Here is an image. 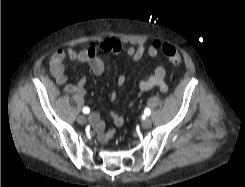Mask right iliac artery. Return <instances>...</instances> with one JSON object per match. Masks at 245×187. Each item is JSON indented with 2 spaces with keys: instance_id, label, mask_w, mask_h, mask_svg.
I'll return each mask as SVG.
<instances>
[{
  "instance_id": "1",
  "label": "right iliac artery",
  "mask_w": 245,
  "mask_h": 187,
  "mask_svg": "<svg viewBox=\"0 0 245 187\" xmlns=\"http://www.w3.org/2000/svg\"><path fill=\"white\" fill-rule=\"evenodd\" d=\"M90 112V109L88 107L83 108V113L88 114Z\"/></svg>"
}]
</instances>
